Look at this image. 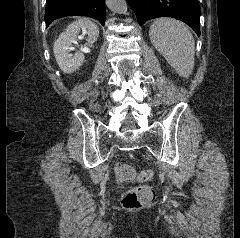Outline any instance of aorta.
<instances>
[{"mask_svg": "<svg viewBox=\"0 0 240 238\" xmlns=\"http://www.w3.org/2000/svg\"><path fill=\"white\" fill-rule=\"evenodd\" d=\"M106 4L113 12H116V13L127 12L126 0H107Z\"/></svg>", "mask_w": 240, "mask_h": 238, "instance_id": "aorta-1", "label": "aorta"}]
</instances>
